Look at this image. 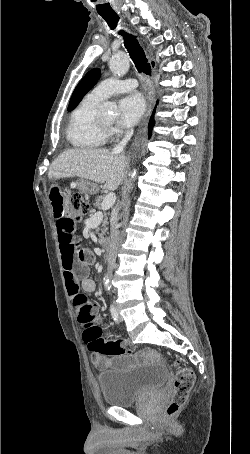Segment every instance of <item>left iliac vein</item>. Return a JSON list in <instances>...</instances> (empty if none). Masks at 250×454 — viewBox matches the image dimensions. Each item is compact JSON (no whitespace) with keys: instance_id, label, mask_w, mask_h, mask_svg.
Masks as SVG:
<instances>
[{"instance_id":"1","label":"left iliac vein","mask_w":250,"mask_h":454,"mask_svg":"<svg viewBox=\"0 0 250 454\" xmlns=\"http://www.w3.org/2000/svg\"><path fill=\"white\" fill-rule=\"evenodd\" d=\"M118 317L120 321H123V317L119 314V310L117 309Z\"/></svg>"}]
</instances>
